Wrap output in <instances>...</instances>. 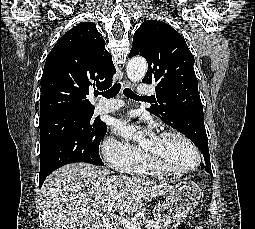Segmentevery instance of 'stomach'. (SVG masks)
I'll return each mask as SVG.
<instances>
[{
    "label": "stomach",
    "mask_w": 255,
    "mask_h": 229,
    "mask_svg": "<svg viewBox=\"0 0 255 229\" xmlns=\"http://www.w3.org/2000/svg\"><path fill=\"white\" fill-rule=\"evenodd\" d=\"M201 196L199 186L192 181H182L170 186L164 202L156 211L155 219L164 227H169L185 219L198 205Z\"/></svg>",
    "instance_id": "stomach-1"
}]
</instances>
